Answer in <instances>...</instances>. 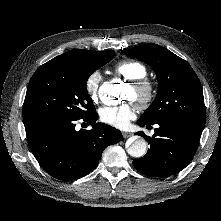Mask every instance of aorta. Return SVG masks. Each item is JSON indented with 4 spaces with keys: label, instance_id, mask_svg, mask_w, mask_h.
<instances>
[{
    "label": "aorta",
    "instance_id": "762f6f07",
    "mask_svg": "<svg viewBox=\"0 0 221 221\" xmlns=\"http://www.w3.org/2000/svg\"><path fill=\"white\" fill-rule=\"evenodd\" d=\"M100 91L103 95H107L109 98H117L120 95L121 86L117 84L104 83ZM147 151V142L141 138H135L132 143L127 147V152L130 156L135 158L143 157Z\"/></svg>",
    "mask_w": 221,
    "mask_h": 221
}]
</instances>
